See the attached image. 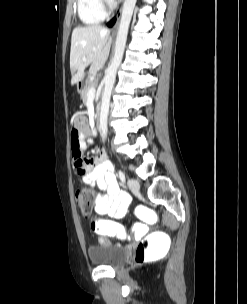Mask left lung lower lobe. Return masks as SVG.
I'll list each match as a JSON object with an SVG mask.
<instances>
[{
	"instance_id": "left-lung-lower-lobe-1",
	"label": "left lung lower lobe",
	"mask_w": 247,
	"mask_h": 304,
	"mask_svg": "<svg viewBox=\"0 0 247 304\" xmlns=\"http://www.w3.org/2000/svg\"><path fill=\"white\" fill-rule=\"evenodd\" d=\"M114 22H115V18L112 19V20L108 23V26H110V27L113 26Z\"/></svg>"
}]
</instances>
